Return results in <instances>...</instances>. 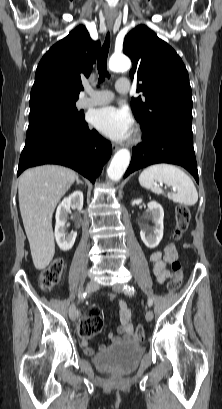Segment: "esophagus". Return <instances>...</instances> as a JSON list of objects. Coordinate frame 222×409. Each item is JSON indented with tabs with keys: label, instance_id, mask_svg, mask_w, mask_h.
Masks as SVG:
<instances>
[{
	"label": "esophagus",
	"instance_id": "34e87169",
	"mask_svg": "<svg viewBox=\"0 0 222 409\" xmlns=\"http://www.w3.org/2000/svg\"><path fill=\"white\" fill-rule=\"evenodd\" d=\"M107 25H108V27H109L110 29H112V27H113V21H108V22H107ZM112 148H113V151H114V152L118 150V146H116V145H113Z\"/></svg>",
	"mask_w": 222,
	"mask_h": 409
}]
</instances>
